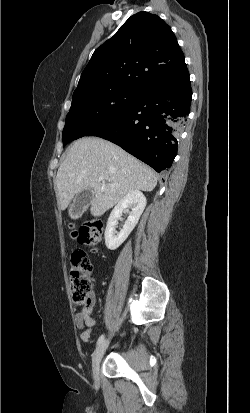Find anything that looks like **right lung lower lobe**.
<instances>
[{"label": "right lung lower lobe", "mask_w": 250, "mask_h": 413, "mask_svg": "<svg viewBox=\"0 0 250 413\" xmlns=\"http://www.w3.org/2000/svg\"><path fill=\"white\" fill-rule=\"evenodd\" d=\"M191 99L189 75L177 83L154 84L142 89L127 108L86 136L109 140L160 173L170 168L177 154Z\"/></svg>", "instance_id": "1"}]
</instances>
